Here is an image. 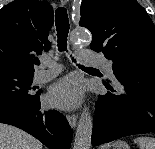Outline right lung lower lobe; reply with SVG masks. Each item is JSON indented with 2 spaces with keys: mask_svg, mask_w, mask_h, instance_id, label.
Returning <instances> with one entry per match:
<instances>
[{
  "mask_svg": "<svg viewBox=\"0 0 155 149\" xmlns=\"http://www.w3.org/2000/svg\"><path fill=\"white\" fill-rule=\"evenodd\" d=\"M40 109L39 98L29 103H0V123L21 128L49 149H69L72 130L66 118L58 111Z\"/></svg>",
  "mask_w": 155,
  "mask_h": 149,
  "instance_id": "right-lung-lower-lobe-1",
  "label": "right lung lower lobe"
}]
</instances>
